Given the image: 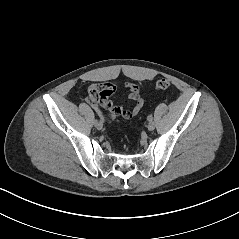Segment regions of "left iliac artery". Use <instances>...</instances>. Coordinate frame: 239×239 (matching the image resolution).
Wrapping results in <instances>:
<instances>
[{"instance_id": "left-iliac-artery-1", "label": "left iliac artery", "mask_w": 239, "mask_h": 239, "mask_svg": "<svg viewBox=\"0 0 239 239\" xmlns=\"http://www.w3.org/2000/svg\"><path fill=\"white\" fill-rule=\"evenodd\" d=\"M147 120H148V121H152V120H153V117H152L151 115H149V116L147 117Z\"/></svg>"}]
</instances>
